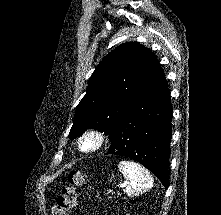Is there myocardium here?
Masks as SVG:
<instances>
[{
	"mask_svg": "<svg viewBox=\"0 0 221 215\" xmlns=\"http://www.w3.org/2000/svg\"><path fill=\"white\" fill-rule=\"evenodd\" d=\"M105 143V135L98 129H87L77 139L79 150L93 153L100 150Z\"/></svg>",
	"mask_w": 221,
	"mask_h": 215,
	"instance_id": "obj_1",
	"label": "myocardium"
}]
</instances>
